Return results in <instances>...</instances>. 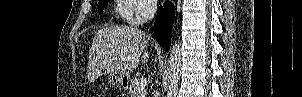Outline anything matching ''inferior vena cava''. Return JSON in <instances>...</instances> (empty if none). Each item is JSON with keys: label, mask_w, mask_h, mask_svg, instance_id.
Listing matches in <instances>:
<instances>
[{"label": "inferior vena cava", "mask_w": 302, "mask_h": 97, "mask_svg": "<svg viewBox=\"0 0 302 97\" xmlns=\"http://www.w3.org/2000/svg\"><path fill=\"white\" fill-rule=\"evenodd\" d=\"M157 9V1L156 0H150L147 4V11H148V17L149 19H153Z\"/></svg>", "instance_id": "1"}]
</instances>
